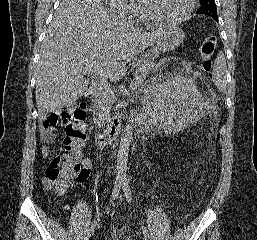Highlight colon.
<instances>
[{
	"mask_svg": "<svg viewBox=\"0 0 257 240\" xmlns=\"http://www.w3.org/2000/svg\"><path fill=\"white\" fill-rule=\"evenodd\" d=\"M216 50V37L205 36L198 48L202 60V68L206 72L212 69V59ZM87 110L85 103L72 105L61 113L50 114L44 122L43 128L47 137L54 138L58 125L65 127L63 153L56 155L50 161L46 171L44 183L62 194L72 185L75 177L85 174L80 163V152L85 142V122Z\"/></svg>",
	"mask_w": 257,
	"mask_h": 240,
	"instance_id": "colon-1",
	"label": "colon"
}]
</instances>
